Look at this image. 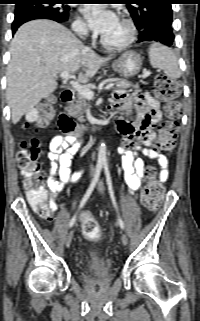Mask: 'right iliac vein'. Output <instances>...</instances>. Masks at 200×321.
<instances>
[{"label": "right iliac vein", "instance_id": "1", "mask_svg": "<svg viewBox=\"0 0 200 321\" xmlns=\"http://www.w3.org/2000/svg\"><path fill=\"white\" fill-rule=\"evenodd\" d=\"M72 237H73V231H70V232L67 234L66 241H65V244H66L67 247L70 246L71 241H72Z\"/></svg>", "mask_w": 200, "mask_h": 321}]
</instances>
